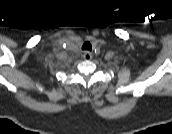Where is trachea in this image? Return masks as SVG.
<instances>
[{
  "instance_id": "3493384b",
  "label": "trachea",
  "mask_w": 172,
  "mask_h": 134,
  "mask_svg": "<svg viewBox=\"0 0 172 134\" xmlns=\"http://www.w3.org/2000/svg\"><path fill=\"white\" fill-rule=\"evenodd\" d=\"M82 49L83 50H89V51H91L92 50V45H91V43L90 42H85L84 44H83V46H82Z\"/></svg>"
}]
</instances>
